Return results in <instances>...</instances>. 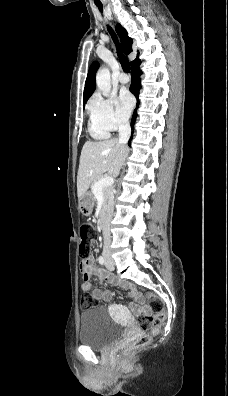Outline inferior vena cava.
<instances>
[{
	"label": "inferior vena cava",
	"instance_id": "602c4592",
	"mask_svg": "<svg viewBox=\"0 0 228 396\" xmlns=\"http://www.w3.org/2000/svg\"><path fill=\"white\" fill-rule=\"evenodd\" d=\"M119 132V142L126 146L130 135H131V128L130 123L128 120H123L119 123L118 126ZM114 195L111 192L108 198L107 204V218H106V227L103 230V237H104V248L103 251L105 254H110V245H111V233H110V221L114 214Z\"/></svg>",
	"mask_w": 228,
	"mask_h": 396
}]
</instances>
